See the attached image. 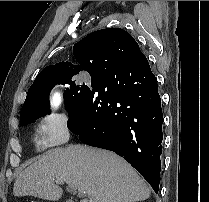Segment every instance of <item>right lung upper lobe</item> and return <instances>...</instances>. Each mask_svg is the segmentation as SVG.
<instances>
[{"mask_svg":"<svg viewBox=\"0 0 209 202\" xmlns=\"http://www.w3.org/2000/svg\"><path fill=\"white\" fill-rule=\"evenodd\" d=\"M73 54L77 64L60 62L46 67L37 75L28 90L21 112L32 105L41 104L36 95L51 78L87 71L91 79L95 80L109 75H119L125 79L131 61L144 57L135 39L120 28H106L90 33L74 45ZM23 123L20 120V124Z\"/></svg>","mask_w":209,"mask_h":202,"instance_id":"obj_1","label":"right lung upper lobe"}]
</instances>
